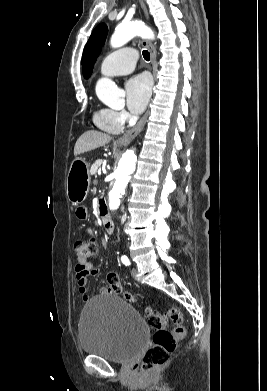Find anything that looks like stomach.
Here are the masks:
<instances>
[{
	"label": "stomach",
	"mask_w": 267,
	"mask_h": 391,
	"mask_svg": "<svg viewBox=\"0 0 267 391\" xmlns=\"http://www.w3.org/2000/svg\"><path fill=\"white\" fill-rule=\"evenodd\" d=\"M90 185L89 164L80 158L75 159L67 175V197L74 204L82 203L88 193Z\"/></svg>",
	"instance_id": "obj_1"
}]
</instances>
